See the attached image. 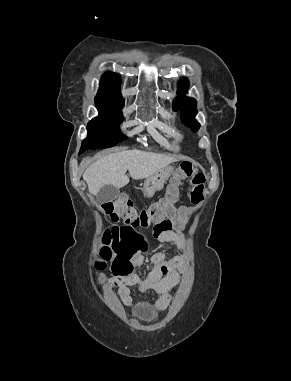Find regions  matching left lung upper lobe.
I'll use <instances>...</instances> for the list:
<instances>
[{
  "mask_svg": "<svg viewBox=\"0 0 291 381\" xmlns=\"http://www.w3.org/2000/svg\"><path fill=\"white\" fill-rule=\"evenodd\" d=\"M188 81L183 80L178 86V97L173 101V110H181L182 121L193 131H197L199 123L195 120L197 114L196 101L192 98L185 97L187 93Z\"/></svg>",
  "mask_w": 291,
  "mask_h": 381,
  "instance_id": "left-lung-upper-lobe-1",
  "label": "left lung upper lobe"
}]
</instances>
